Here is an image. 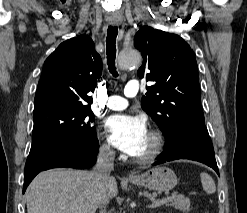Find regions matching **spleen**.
I'll use <instances>...</instances> for the list:
<instances>
[{"mask_svg":"<svg viewBox=\"0 0 247 213\" xmlns=\"http://www.w3.org/2000/svg\"><path fill=\"white\" fill-rule=\"evenodd\" d=\"M200 177H201V182H202V186H203L204 190L208 194H213L216 191V186H215L214 180L211 178V176H209L205 172H202L200 174Z\"/></svg>","mask_w":247,"mask_h":213,"instance_id":"1","label":"spleen"}]
</instances>
